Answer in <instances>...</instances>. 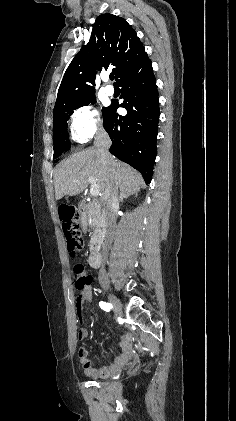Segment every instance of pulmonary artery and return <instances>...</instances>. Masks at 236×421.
I'll use <instances>...</instances> for the list:
<instances>
[{
    "label": "pulmonary artery",
    "mask_w": 236,
    "mask_h": 421,
    "mask_svg": "<svg viewBox=\"0 0 236 421\" xmlns=\"http://www.w3.org/2000/svg\"><path fill=\"white\" fill-rule=\"evenodd\" d=\"M104 92H105L106 95L112 96L114 94L115 90L111 85H106L104 87Z\"/></svg>",
    "instance_id": "e3ab8cb5"
}]
</instances>
